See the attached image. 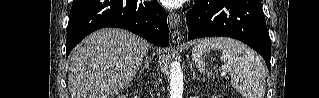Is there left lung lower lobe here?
Listing matches in <instances>:
<instances>
[{
    "label": "left lung lower lobe",
    "mask_w": 319,
    "mask_h": 98,
    "mask_svg": "<svg viewBox=\"0 0 319 98\" xmlns=\"http://www.w3.org/2000/svg\"><path fill=\"white\" fill-rule=\"evenodd\" d=\"M188 39L224 36L255 49L270 70V37L260 0H196L186 14Z\"/></svg>",
    "instance_id": "left-lung-lower-lobe-1"
}]
</instances>
